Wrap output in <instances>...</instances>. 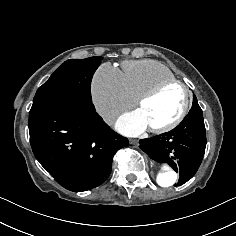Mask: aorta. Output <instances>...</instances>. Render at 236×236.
Wrapping results in <instances>:
<instances>
[{"label":"aorta","mask_w":236,"mask_h":236,"mask_svg":"<svg viewBox=\"0 0 236 236\" xmlns=\"http://www.w3.org/2000/svg\"><path fill=\"white\" fill-rule=\"evenodd\" d=\"M177 173L167 164H162L157 175L156 181L161 187H169L175 184Z\"/></svg>","instance_id":"aorta-1"}]
</instances>
